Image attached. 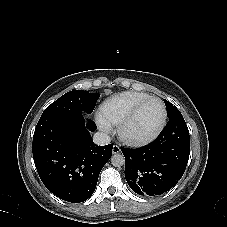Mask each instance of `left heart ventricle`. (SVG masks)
Listing matches in <instances>:
<instances>
[{
  "label": "left heart ventricle",
  "mask_w": 227,
  "mask_h": 227,
  "mask_svg": "<svg viewBox=\"0 0 227 227\" xmlns=\"http://www.w3.org/2000/svg\"><path fill=\"white\" fill-rule=\"evenodd\" d=\"M162 115L163 109L159 102L147 103L128 128V134L133 137H144L150 134L160 123Z\"/></svg>",
  "instance_id": "left-heart-ventricle-1"
}]
</instances>
